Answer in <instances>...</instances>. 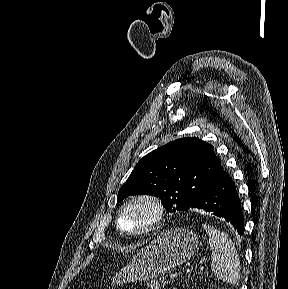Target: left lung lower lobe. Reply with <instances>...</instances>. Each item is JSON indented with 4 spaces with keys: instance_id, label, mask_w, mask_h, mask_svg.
Listing matches in <instances>:
<instances>
[{
    "instance_id": "left-lung-lower-lobe-1",
    "label": "left lung lower lobe",
    "mask_w": 288,
    "mask_h": 289,
    "mask_svg": "<svg viewBox=\"0 0 288 289\" xmlns=\"http://www.w3.org/2000/svg\"><path fill=\"white\" fill-rule=\"evenodd\" d=\"M210 212L230 222L243 235L244 217L234 181L226 171L210 183L191 203L188 209ZM187 209V210H188Z\"/></svg>"
}]
</instances>
